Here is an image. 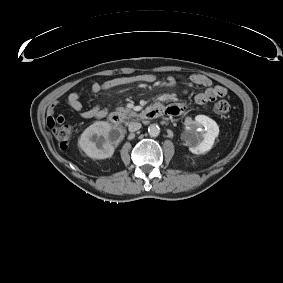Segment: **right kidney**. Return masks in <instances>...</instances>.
<instances>
[{
	"mask_svg": "<svg viewBox=\"0 0 283 283\" xmlns=\"http://www.w3.org/2000/svg\"><path fill=\"white\" fill-rule=\"evenodd\" d=\"M123 139L119 130L105 121H97L81 134L78 145L85 154L93 159L110 158Z\"/></svg>",
	"mask_w": 283,
	"mask_h": 283,
	"instance_id": "right-kidney-1",
	"label": "right kidney"
}]
</instances>
